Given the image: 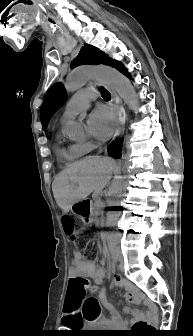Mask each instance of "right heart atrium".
<instances>
[{
  "label": "right heart atrium",
  "instance_id": "right-heart-atrium-1",
  "mask_svg": "<svg viewBox=\"0 0 193 336\" xmlns=\"http://www.w3.org/2000/svg\"><path fill=\"white\" fill-rule=\"evenodd\" d=\"M81 144L86 153L94 148V144L90 141L83 142Z\"/></svg>",
  "mask_w": 193,
  "mask_h": 336
}]
</instances>
